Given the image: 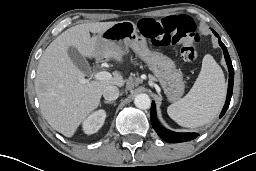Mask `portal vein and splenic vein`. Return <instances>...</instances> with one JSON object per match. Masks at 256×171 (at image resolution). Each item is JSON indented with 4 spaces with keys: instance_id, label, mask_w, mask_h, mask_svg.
I'll list each match as a JSON object with an SVG mask.
<instances>
[{
    "instance_id": "18ae733b",
    "label": "portal vein and splenic vein",
    "mask_w": 256,
    "mask_h": 171,
    "mask_svg": "<svg viewBox=\"0 0 256 171\" xmlns=\"http://www.w3.org/2000/svg\"><path fill=\"white\" fill-rule=\"evenodd\" d=\"M93 78H94L95 80H111V79H112V75H111V73H109V72L100 71V72L95 73V74L93 75ZM89 81H90V79H84V78H82V79L80 80V82H81L82 84H86V83L89 82Z\"/></svg>"
}]
</instances>
